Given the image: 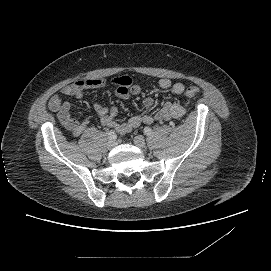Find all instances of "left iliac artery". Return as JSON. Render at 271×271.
Instances as JSON below:
<instances>
[{"mask_svg": "<svg viewBox=\"0 0 271 271\" xmlns=\"http://www.w3.org/2000/svg\"><path fill=\"white\" fill-rule=\"evenodd\" d=\"M144 133H145V135H150L152 133L151 128L150 127H145L144 128Z\"/></svg>", "mask_w": 271, "mask_h": 271, "instance_id": "44dca946", "label": "left iliac artery"}]
</instances>
